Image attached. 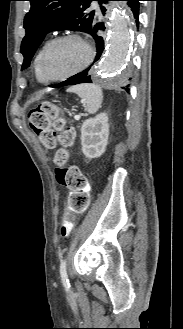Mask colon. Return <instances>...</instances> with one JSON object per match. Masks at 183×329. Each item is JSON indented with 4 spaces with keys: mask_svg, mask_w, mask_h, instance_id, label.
I'll return each mask as SVG.
<instances>
[{
    "mask_svg": "<svg viewBox=\"0 0 183 329\" xmlns=\"http://www.w3.org/2000/svg\"><path fill=\"white\" fill-rule=\"evenodd\" d=\"M28 121L30 128L46 148L52 149L57 143L60 145L55 157L57 164L55 177L60 186L69 190L68 206H64L65 214L62 216L65 222L60 229L61 236L67 238L73 228L72 219L82 217L89 203V186L86 177L79 167L65 166L70 156V149L74 145L75 131L73 128L66 127L60 109L51 103H43L32 109Z\"/></svg>",
    "mask_w": 183,
    "mask_h": 329,
    "instance_id": "5ec220e1",
    "label": "colon"
}]
</instances>
